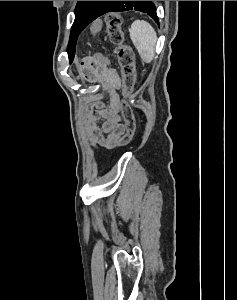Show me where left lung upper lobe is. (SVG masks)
Returning <instances> with one entry per match:
<instances>
[{"label": "left lung upper lobe", "instance_id": "5c2ea615", "mask_svg": "<svg viewBox=\"0 0 237 300\" xmlns=\"http://www.w3.org/2000/svg\"><path fill=\"white\" fill-rule=\"evenodd\" d=\"M109 1H78L75 8V20L71 29L70 39L68 43V56L70 63L74 59L76 44L79 35L84 28L92 21L98 18ZM124 11L136 10L147 13L156 22L158 17L156 14V7L152 1H121Z\"/></svg>", "mask_w": 237, "mask_h": 300}]
</instances>
